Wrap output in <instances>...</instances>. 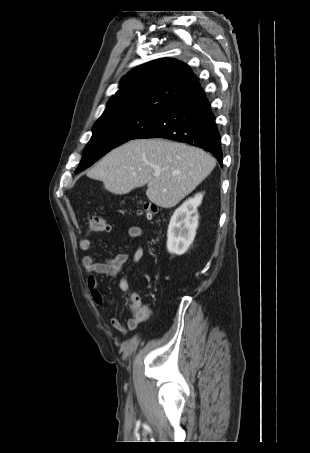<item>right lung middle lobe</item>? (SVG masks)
<instances>
[{
    "instance_id": "1",
    "label": "right lung middle lobe",
    "mask_w": 310,
    "mask_h": 453,
    "mask_svg": "<svg viewBox=\"0 0 310 453\" xmlns=\"http://www.w3.org/2000/svg\"><path fill=\"white\" fill-rule=\"evenodd\" d=\"M160 114L121 113L99 118L76 173L86 169L113 148L136 139Z\"/></svg>"
}]
</instances>
